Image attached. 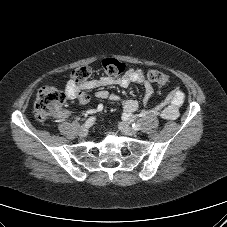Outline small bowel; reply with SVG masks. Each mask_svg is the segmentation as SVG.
<instances>
[{"label":"small bowel","mask_w":227,"mask_h":227,"mask_svg":"<svg viewBox=\"0 0 227 227\" xmlns=\"http://www.w3.org/2000/svg\"><path fill=\"white\" fill-rule=\"evenodd\" d=\"M114 84L123 88H126L131 84H142L144 87V103L151 111L160 114L162 118L167 120H175L178 117L179 107L185 100L184 93L179 89H175L162 101L153 104V86L146 76L141 71L137 70H130L117 79L104 76L97 79L87 80L82 84H77L71 80L66 84L65 91L69 99L76 100L84 105L90 100L87 91L94 90L95 96L98 99L118 102L123 109L124 118L131 120L134 117L135 112L138 110L139 103L135 99H121L119 96L112 94L105 89V87ZM67 115V113L62 114L63 117H66Z\"/></svg>","instance_id":"c3829d8e"}]
</instances>
